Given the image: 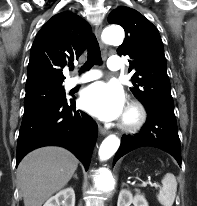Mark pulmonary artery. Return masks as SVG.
<instances>
[{"label": "pulmonary artery", "mask_w": 197, "mask_h": 206, "mask_svg": "<svg viewBox=\"0 0 197 206\" xmlns=\"http://www.w3.org/2000/svg\"><path fill=\"white\" fill-rule=\"evenodd\" d=\"M107 66L112 71L120 70L122 67L120 58L119 57H110L108 60ZM99 77H100V73L98 71H90L81 77L70 78L67 81V87L73 88L80 83L89 82V81L95 80Z\"/></svg>", "instance_id": "pulmonary-artery-1"}]
</instances>
